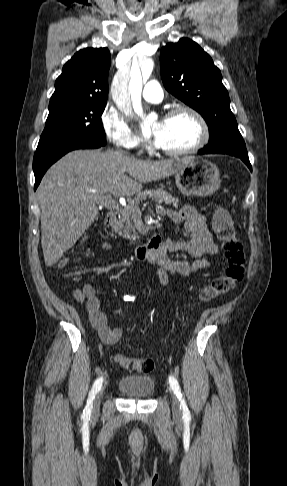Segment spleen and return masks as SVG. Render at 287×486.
<instances>
[{"label":"spleen","mask_w":287,"mask_h":486,"mask_svg":"<svg viewBox=\"0 0 287 486\" xmlns=\"http://www.w3.org/2000/svg\"><path fill=\"white\" fill-rule=\"evenodd\" d=\"M243 208H246V204L245 203H243Z\"/></svg>","instance_id":"obj_1"}]
</instances>
